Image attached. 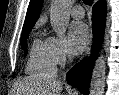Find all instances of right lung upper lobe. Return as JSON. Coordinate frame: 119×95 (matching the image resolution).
Segmentation results:
<instances>
[{
  "instance_id": "1",
  "label": "right lung upper lobe",
  "mask_w": 119,
  "mask_h": 95,
  "mask_svg": "<svg viewBox=\"0 0 119 95\" xmlns=\"http://www.w3.org/2000/svg\"><path fill=\"white\" fill-rule=\"evenodd\" d=\"M43 0H30L22 33L29 31L39 18Z\"/></svg>"
}]
</instances>
